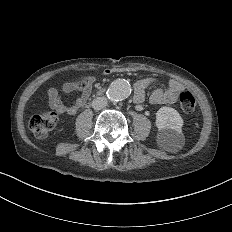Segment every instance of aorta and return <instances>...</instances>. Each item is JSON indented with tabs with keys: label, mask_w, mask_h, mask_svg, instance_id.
Wrapping results in <instances>:
<instances>
[{
	"label": "aorta",
	"mask_w": 232,
	"mask_h": 232,
	"mask_svg": "<svg viewBox=\"0 0 232 232\" xmlns=\"http://www.w3.org/2000/svg\"><path fill=\"white\" fill-rule=\"evenodd\" d=\"M130 93V84L124 79H117L109 86L107 96L112 101H121L126 99Z\"/></svg>",
	"instance_id": "aorta-1"
}]
</instances>
